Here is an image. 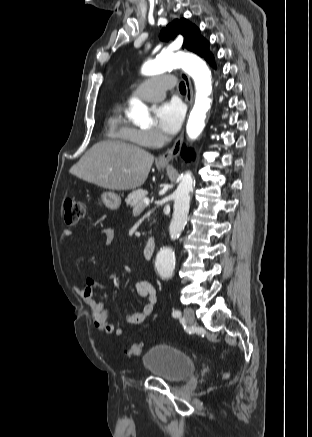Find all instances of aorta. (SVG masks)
<instances>
[{"label":"aorta","instance_id":"762f6f07","mask_svg":"<svg viewBox=\"0 0 312 437\" xmlns=\"http://www.w3.org/2000/svg\"><path fill=\"white\" fill-rule=\"evenodd\" d=\"M177 67L188 73L195 83V104L189 115L186 132L190 139H196L204 129L206 113L211 107L209 98L212 92L211 73L206 63L192 54L161 53L155 60L143 65L142 74L156 75ZM129 117L140 124L150 121L147 106L137 99L131 101ZM192 190L193 178L191 173L187 172L174 193V212L169 225L172 240L180 236L187 223ZM156 269L161 276L172 275L175 269V255L171 248H163L159 252Z\"/></svg>","mask_w":312,"mask_h":437}]
</instances>
